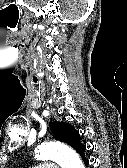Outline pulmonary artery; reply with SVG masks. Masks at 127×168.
Masks as SVG:
<instances>
[{"label":"pulmonary artery","mask_w":127,"mask_h":168,"mask_svg":"<svg viewBox=\"0 0 127 168\" xmlns=\"http://www.w3.org/2000/svg\"><path fill=\"white\" fill-rule=\"evenodd\" d=\"M32 168H58V166L55 163H44L34 166Z\"/></svg>","instance_id":"obj_1"}]
</instances>
